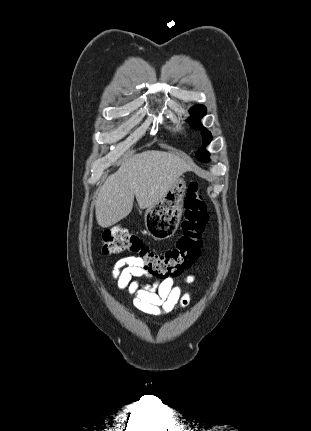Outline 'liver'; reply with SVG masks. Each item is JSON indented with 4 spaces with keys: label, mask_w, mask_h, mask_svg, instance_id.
<instances>
[{
    "label": "liver",
    "mask_w": 311,
    "mask_h": 431,
    "mask_svg": "<svg viewBox=\"0 0 311 431\" xmlns=\"http://www.w3.org/2000/svg\"><path fill=\"white\" fill-rule=\"evenodd\" d=\"M185 172H191L189 164L169 152L147 150L131 156L107 178L97 196L98 225L110 227L129 216L134 198L140 210L152 208Z\"/></svg>",
    "instance_id": "6515ba94"
}]
</instances>
